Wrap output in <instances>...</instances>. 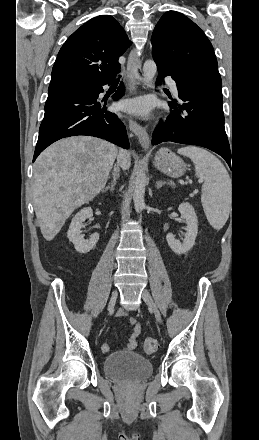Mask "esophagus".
<instances>
[{
    "instance_id": "esophagus-1",
    "label": "esophagus",
    "mask_w": 259,
    "mask_h": 440,
    "mask_svg": "<svg viewBox=\"0 0 259 440\" xmlns=\"http://www.w3.org/2000/svg\"><path fill=\"white\" fill-rule=\"evenodd\" d=\"M141 58L136 49H132L128 59V76L130 93L136 92L141 85ZM129 128L138 138V141L144 150H148L150 140L146 128L140 125L132 118H128Z\"/></svg>"
}]
</instances>
